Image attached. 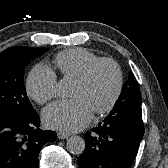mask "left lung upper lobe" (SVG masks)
Wrapping results in <instances>:
<instances>
[{"instance_id": "1", "label": "left lung upper lobe", "mask_w": 168, "mask_h": 168, "mask_svg": "<svg viewBox=\"0 0 168 168\" xmlns=\"http://www.w3.org/2000/svg\"><path fill=\"white\" fill-rule=\"evenodd\" d=\"M141 109V95L139 85L132 72H129L127 83L116 101L112 112H119L127 109Z\"/></svg>"}]
</instances>
